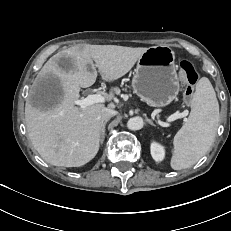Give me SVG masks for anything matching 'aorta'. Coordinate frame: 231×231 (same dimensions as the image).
<instances>
[{
  "label": "aorta",
  "mask_w": 231,
  "mask_h": 231,
  "mask_svg": "<svg viewBox=\"0 0 231 231\" xmlns=\"http://www.w3.org/2000/svg\"><path fill=\"white\" fill-rule=\"evenodd\" d=\"M143 126H144V121L139 116L130 118L127 122L128 129L133 130V131L140 130L143 128Z\"/></svg>",
  "instance_id": "1"
}]
</instances>
